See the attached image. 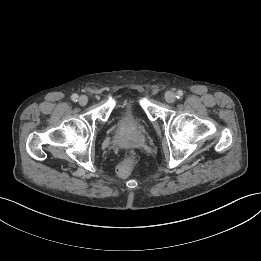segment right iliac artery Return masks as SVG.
<instances>
[{
	"instance_id": "1",
	"label": "right iliac artery",
	"mask_w": 261,
	"mask_h": 261,
	"mask_svg": "<svg viewBox=\"0 0 261 261\" xmlns=\"http://www.w3.org/2000/svg\"><path fill=\"white\" fill-rule=\"evenodd\" d=\"M71 98H72V100H73L74 102H77V101H78V95H77V94H73V95L71 96Z\"/></svg>"
}]
</instances>
